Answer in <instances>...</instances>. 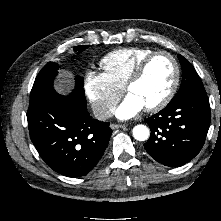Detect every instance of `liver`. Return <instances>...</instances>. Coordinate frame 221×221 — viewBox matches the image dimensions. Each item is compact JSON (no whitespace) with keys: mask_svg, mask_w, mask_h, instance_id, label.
Returning <instances> with one entry per match:
<instances>
[{"mask_svg":"<svg viewBox=\"0 0 221 221\" xmlns=\"http://www.w3.org/2000/svg\"><path fill=\"white\" fill-rule=\"evenodd\" d=\"M72 78L73 74L70 71H61L59 78L54 86L55 90L61 94L69 92L73 84Z\"/></svg>","mask_w":221,"mask_h":221,"instance_id":"6515ba94","label":"liver"}]
</instances>
